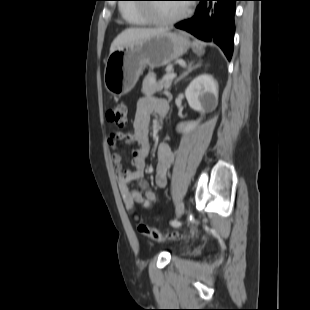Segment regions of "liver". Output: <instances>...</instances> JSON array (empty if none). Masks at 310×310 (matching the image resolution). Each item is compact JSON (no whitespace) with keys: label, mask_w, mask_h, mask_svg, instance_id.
<instances>
[{"label":"liver","mask_w":310,"mask_h":310,"mask_svg":"<svg viewBox=\"0 0 310 310\" xmlns=\"http://www.w3.org/2000/svg\"><path fill=\"white\" fill-rule=\"evenodd\" d=\"M168 31L166 28H129L122 31L112 42L110 47V54L117 49H122L129 45L139 43L147 40L153 36L159 35Z\"/></svg>","instance_id":"liver-1"}]
</instances>
